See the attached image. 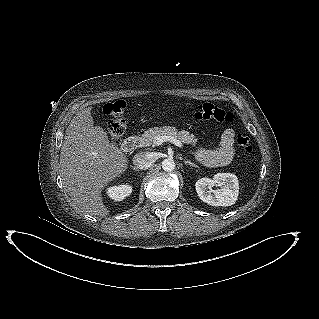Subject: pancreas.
I'll return each mask as SVG.
<instances>
[{"label":"pancreas","instance_id":"obj_1","mask_svg":"<svg viewBox=\"0 0 319 319\" xmlns=\"http://www.w3.org/2000/svg\"><path fill=\"white\" fill-rule=\"evenodd\" d=\"M156 136H170L178 139L182 143L188 145L190 144L192 146H195L198 142V139L193 134H190L188 131H178L174 127L163 126L162 128L154 127L145 131L144 134L137 138V147H147L152 145Z\"/></svg>","mask_w":319,"mask_h":319}]
</instances>
